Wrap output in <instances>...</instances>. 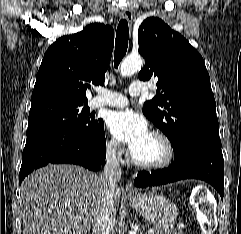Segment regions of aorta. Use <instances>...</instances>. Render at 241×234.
Masks as SVG:
<instances>
[{
  "label": "aorta",
  "instance_id": "762f6f07",
  "mask_svg": "<svg viewBox=\"0 0 241 234\" xmlns=\"http://www.w3.org/2000/svg\"><path fill=\"white\" fill-rule=\"evenodd\" d=\"M143 66V59L139 55L127 56L120 67V72L122 76H131L141 69Z\"/></svg>",
  "mask_w": 241,
  "mask_h": 234
}]
</instances>
